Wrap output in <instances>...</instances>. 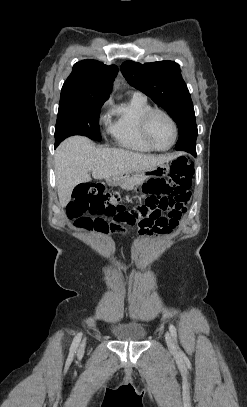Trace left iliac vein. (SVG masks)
Wrapping results in <instances>:
<instances>
[{
  "mask_svg": "<svg viewBox=\"0 0 247 407\" xmlns=\"http://www.w3.org/2000/svg\"><path fill=\"white\" fill-rule=\"evenodd\" d=\"M165 340H166V343H167V345H168V347H169L170 349H174V348H175L174 342H173V339H172V336H171V334H170L169 332H166V333H165Z\"/></svg>",
  "mask_w": 247,
  "mask_h": 407,
  "instance_id": "4c4485c4",
  "label": "left iliac vein"
}]
</instances>
